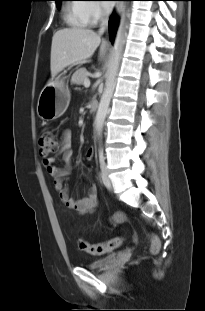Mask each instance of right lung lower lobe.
Segmentation results:
<instances>
[{"label": "right lung lower lobe", "instance_id": "98d812e1", "mask_svg": "<svg viewBox=\"0 0 205 311\" xmlns=\"http://www.w3.org/2000/svg\"><path fill=\"white\" fill-rule=\"evenodd\" d=\"M117 28V20L115 17H111L109 20V35H110V40L114 38V34L116 32Z\"/></svg>", "mask_w": 205, "mask_h": 311}]
</instances>
